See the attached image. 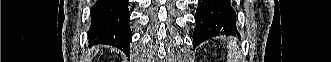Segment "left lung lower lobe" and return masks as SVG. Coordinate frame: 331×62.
Masks as SVG:
<instances>
[{
    "label": "left lung lower lobe",
    "mask_w": 331,
    "mask_h": 62,
    "mask_svg": "<svg viewBox=\"0 0 331 62\" xmlns=\"http://www.w3.org/2000/svg\"><path fill=\"white\" fill-rule=\"evenodd\" d=\"M236 12L230 0H198L193 32L194 48L219 35H240L236 27Z\"/></svg>",
    "instance_id": "obj_1"
}]
</instances>
